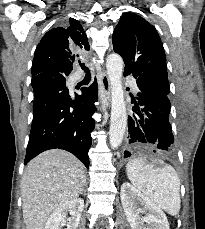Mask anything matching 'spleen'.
I'll return each mask as SVG.
<instances>
[{"label": "spleen", "instance_id": "3e777b00", "mask_svg": "<svg viewBox=\"0 0 205 229\" xmlns=\"http://www.w3.org/2000/svg\"><path fill=\"white\" fill-rule=\"evenodd\" d=\"M126 172L131 183L156 205L172 216L179 213L180 179L172 166L154 167L136 158L128 162Z\"/></svg>", "mask_w": 205, "mask_h": 229}]
</instances>
